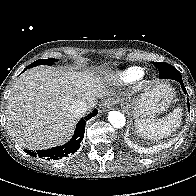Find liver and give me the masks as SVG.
I'll list each match as a JSON object with an SVG mask.
<instances>
[{"label": "liver", "instance_id": "liver-1", "mask_svg": "<svg viewBox=\"0 0 196 196\" xmlns=\"http://www.w3.org/2000/svg\"><path fill=\"white\" fill-rule=\"evenodd\" d=\"M107 81L93 73L41 66L14 82L7 100V130L24 148L47 149L66 142L79 116L70 111L75 100L92 109L96 98L111 93Z\"/></svg>", "mask_w": 196, "mask_h": 196}]
</instances>
